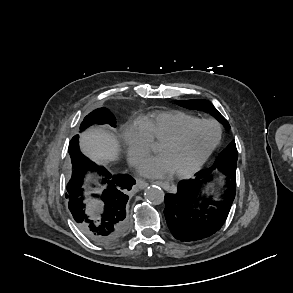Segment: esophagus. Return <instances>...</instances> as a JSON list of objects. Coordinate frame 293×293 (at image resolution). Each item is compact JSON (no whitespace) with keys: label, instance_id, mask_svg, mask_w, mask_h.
<instances>
[{"label":"esophagus","instance_id":"esophagus-1","mask_svg":"<svg viewBox=\"0 0 293 293\" xmlns=\"http://www.w3.org/2000/svg\"><path fill=\"white\" fill-rule=\"evenodd\" d=\"M154 183L164 187L165 189H167L169 187V184L165 183V182H154ZM147 186H148L147 182H145L144 180H141V179H137V187L139 189H144Z\"/></svg>","mask_w":293,"mask_h":293}]
</instances>
